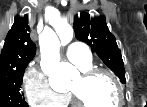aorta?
I'll return each mask as SVG.
<instances>
[{
	"instance_id": "762f6f07",
	"label": "aorta",
	"mask_w": 147,
	"mask_h": 107,
	"mask_svg": "<svg viewBox=\"0 0 147 107\" xmlns=\"http://www.w3.org/2000/svg\"><path fill=\"white\" fill-rule=\"evenodd\" d=\"M73 31L68 29L65 37L68 41L72 39ZM41 69L49 76L50 86L54 90L65 89L71 80L79 75L77 69L67 62H60V41L55 32L45 28L40 35Z\"/></svg>"
}]
</instances>
